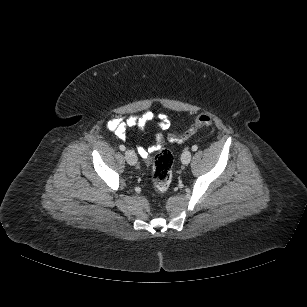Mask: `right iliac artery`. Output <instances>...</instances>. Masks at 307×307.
I'll use <instances>...</instances> for the list:
<instances>
[{"instance_id":"right-iliac-artery-1","label":"right iliac artery","mask_w":307,"mask_h":307,"mask_svg":"<svg viewBox=\"0 0 307 307\" xmlns=\"http://www.w3.org/2000/svg\"><path fill=\"white\" fill-rule=\"evenodd\" d=\"M119 148L121 151H124L126 149L124 145H120Z\"/></svg>"}]
</instances>
